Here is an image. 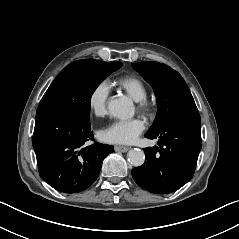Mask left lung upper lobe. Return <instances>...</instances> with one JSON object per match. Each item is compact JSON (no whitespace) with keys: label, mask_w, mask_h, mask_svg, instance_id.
I'll return each instance as SVG.
<instances>
[{"label":"left lung upper lobe","mask_w":239,"mask_h":239,"mask_svg":"<svg viewBox=\"0 0 239 239\" xmlns=\"http://www.w3.org/2000/svg\"><path fill=\"white\" fill-rule=\"evenodd\" d=\"M132 67L152 85L157 98V116L148 133L158 131L178 114L198 111L186 82L178 72L153 61L133 63Z\"/></svg>","instance_id":"obj_1"}]
</instances>
